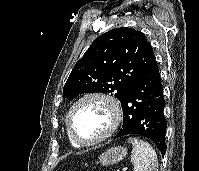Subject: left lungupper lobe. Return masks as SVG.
<instances>
[{
  "mask_svg": "<svg viewBox=\"0 0 199 171\" xmlns=\"http://www.w3.org/2000/svg\"><path fill=\"white\" fill-rule=\"evenodd\" d=\"M155 59L145 35L129 28L102 34L77 61L63 88V97L108 92L122 101L129 88Z\"/></svg>",
  "mask_w": 199,
  "mask_h": 171,
  "instance_id": "left-lung-upper-lobe-1",
  "label": "left lung upper lobe"
}]
</instances>
